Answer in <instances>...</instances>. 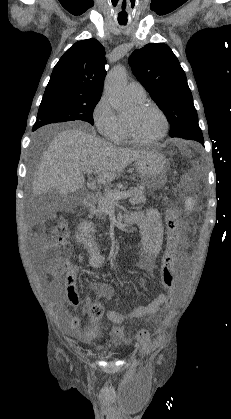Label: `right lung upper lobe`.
<instances>
[{
    "label": "right lung upper lobe",
    "mask_w": 231,
    "mask_h": 419,
    "mask_svg": "<svg viewBox=\"0 0 231 419\" xmlns=\"http://www.w3.org/2000/svg\"><path fill=\"white\" fill-rule=\"evenodd\" d=\"M104 47L96 39L76 42L55 65L46 88L101 95L106 76Z\"/></svg>",
    "instance_id": "1"
}]
</instances>
